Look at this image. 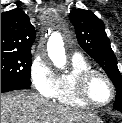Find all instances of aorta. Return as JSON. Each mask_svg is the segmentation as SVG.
Returning <instances> with one entry per match:
<instances>
[{
  "label": "aorta",
  "mask_w": 122,
  "mask_h": 123,
  "mask_svg": "<svg viewBox=\"0 0 122 123\" xmlns=\"http://www.w3.org/2000/svg\"><path fill=\"white\" fill-rule=\"evenodd\" d=\"M48 56L54 66L63 69L66 65V54L60 35L54 34L47 44Z\"/></svg>",
  "instance_id": "762f6f07"
}]
</instances>
